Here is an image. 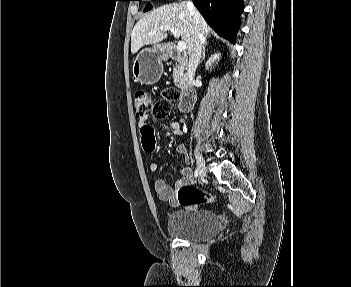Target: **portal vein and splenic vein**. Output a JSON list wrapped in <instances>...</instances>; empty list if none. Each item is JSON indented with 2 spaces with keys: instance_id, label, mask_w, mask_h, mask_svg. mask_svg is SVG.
<instances>
[{
  "instance_id": "portal-vein-and-splenic-vein-1",
  "label": "portal vein and splenic vein",
  "mask_w": 351,
  "mask_h": 287,
  "mask_svg": "<svg viewBox=\"0 0 351 287\" xmlns=\"http://www.w3.org/2000/svg\"><path fill=\"white\" fill-rule=\"evenodd\" d=\"M159 30L161 31H171L174 37L179 38L180 34L177 29L171 28L170 26L160 27ZM186 49V43L184 41H179L177 44V51L182 52Z\"/></svg>"
}]
</instances>
